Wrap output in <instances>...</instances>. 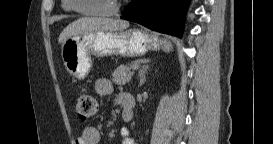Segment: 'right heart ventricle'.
Listing matches in <instances>:
<instances>
[{
  "mask_svg": "<svg viewBox=\"0 0 273 144\" xmlns=\"http://www.w3.org/2000/svg\"><path fill=\"white\" fill-rule=\"evenodd\" d=\"M62 5L65 11H71L70 0H64Z\"/></svg>",
  "mask_w": 273,
  "mask_h": 144,
  "instance_id": "1",
  "label": "right heart ventricle"
}]
</instances>
